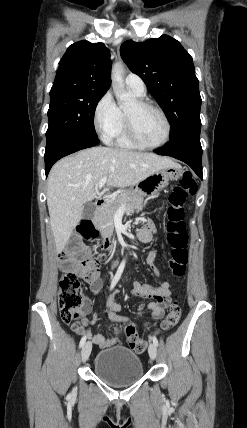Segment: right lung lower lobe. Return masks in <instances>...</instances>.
I'll list each match as a JSON object with an SVG mask.
<instances>
[{"label": "right lung lower lobe", "instance_id": "right-lung-lower-lobe-1", "mask_svg": "<svg viewBox=\"0 0 247 428\" xmlns=\"http://www.w3.org/2000/svg\"><path fill=\"white\" fill-rule=\"evenodd\" d=\"M98 143V138H88L73 134H59L47 138L44 156L46 176L48 175L53 164L60 158L81 149L93 147Z\"/></svg>", "mask_w": 247, "mask_h": 428}]
</instances>
